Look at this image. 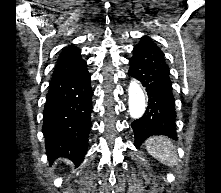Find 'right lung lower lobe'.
<instances>
[{"label":"right lung lower lobe","mask_w":221,"mask_h":193,"mask_svg":"<svg viewBox=\"0 0 221 193\" xmlns=\"http://www.w3.org/2000/svg\"><path fill=\"white\" fill-rule=\"evenodd\" d=\"M90 78L86 64L52 77L42 127L49 160L65 157L76 165L83 161L91 128Z\"/></svg>","instance_id":"98d812e1"}]
</instances>
